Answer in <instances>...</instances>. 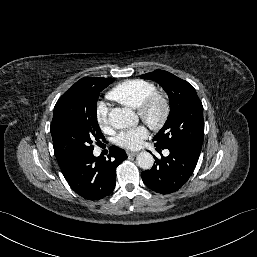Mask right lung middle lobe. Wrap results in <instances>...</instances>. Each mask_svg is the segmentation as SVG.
<instances>
[{"label": "right lung middle lobe", "mask_w": 257, "mask_h": 257, "mask_svg": "<svg viewBox=\"0 0 257 257\" xmlns=\"http://www.w3.org/2000/svg\"><path fill=\"white\" fill-rule=\"evenodd\" d=\"M113 81H85L61 96L50 126L55 150L74 159L93 153V141L104 138L97 122V100Z\"/></svg>", "instance_id": "1"}]
</instances>
